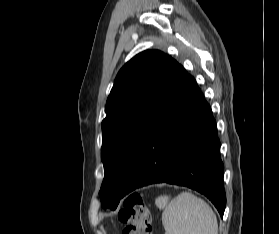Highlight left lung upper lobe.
Listing matches in <instances>:
<instances>
[{"mask_svg":"<svg viewBox=\"0 0 279 234\" xmlns=\"http://www.w3.org/2000/svg\"><path fill=\"white\" fill-rule=\"evenodd\" d=\"M179 64L158 50H146L118 72L102 121L104 180L101 206L115 210L147 128Z\"/></svg>","mask_w":279,"mask_h":234,"instance_id":"obj_1","label":"left lung upper lobe"}]
</instances>
